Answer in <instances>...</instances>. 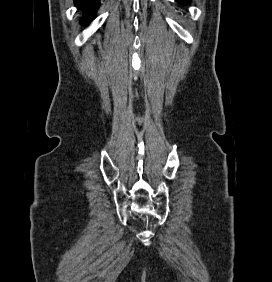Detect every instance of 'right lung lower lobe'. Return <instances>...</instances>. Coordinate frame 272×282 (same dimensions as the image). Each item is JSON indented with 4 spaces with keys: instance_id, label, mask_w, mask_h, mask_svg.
I'll return each instance as SVG.
<instances>
[{
    "instance_id": "right-lung-lower-lobe-1",
    "label": "right lung lower lobe",
    "mask_w": 272,
    "mask_h": 282,
    "mask_svg": "<svg viewBox=\"0 0 272 282\" xmlns=\"http://www.w3.org/2000/svg\"><path fill=\"white\" fill-rule=\"evenodd\" d=\"M75 4L85 11L84 17L81 19L83 25H87L89 20L94 16L95 10L99 5V0H74Z\"/></svg>"
}]
</instances>
